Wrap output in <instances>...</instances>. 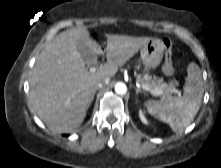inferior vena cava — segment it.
I'll return each instance as SVG.
<instances>
[{"instance_id":"inferior-vena-cava-1","label":"inferior vena cava","mask_w":221,"mask_h":168,"mask_svg":"<svg viewBox=\"0 0 221 168\" xmlns=\"http://www.w3.org/2000/svg\"><path fill=\"white\" fill-rule=\"evenodd\" d=\"M109 81H110V78H109V77L100 79V80L96 83V88H102L103 86L108 85Z\"/></svg>"}]
</instances>
